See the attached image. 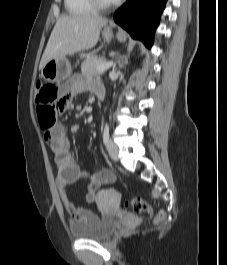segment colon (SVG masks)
Returning a JSON list of instances; mask_svg holds the SVG:
<instances>
[{
    "mask_svg": "<svg viewBox=\"0 0 227 265\" xmlns=\"http://www.w3.org/2000/svg\"><path fill=\"white\" fill-rule=\"evenodd\" d=\"M58 99L65 98L60 96V91L57 85L37 83L35 95L36 110L38 113L39 123L44 131L49 130L55 124L57 116L61 113L57 111ZM124 206L136 213H152L149 205L140 198L125 200ZM164 219L165 211L160 210L155 216V223L160 224Z\"/></svg>",
    "mask_w": 227,
    "mask_h": 265,
    "instance_id": "5ec220e1",
    "label": "colon"
}]
</instances>
